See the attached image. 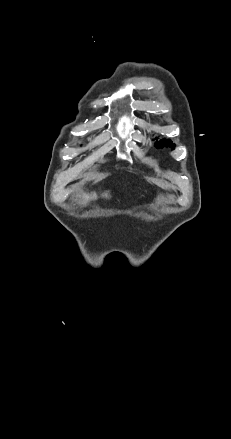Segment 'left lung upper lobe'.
<instances>
[{
    "instance_id": "left-lung-upper-lobe-1",
    "label": "left lung upper lobe",
    "mask_w": 231,
    "mask_h": 439,
    "mask_svg": "<svg viewBox=\"0 0 231 439\" xmlns=\"http://www.w3.org/2000/svg\"><path fill=\"white\" fill-rule=\"evenodd\" d=\"M165 141L167 142L166 145H168V141H169V139H162V140H160L159 142H156V143H155V146H156L157 148L163 147L164 144H165ZM169 143H170V147L174 148L175 144L172 145V141H169Z\"/></svg>"
}]
</instances>
